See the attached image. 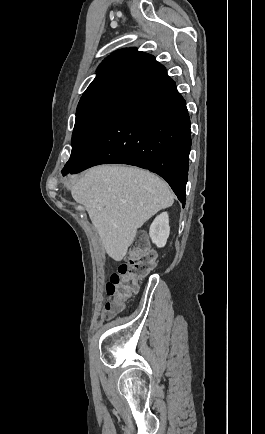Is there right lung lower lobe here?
Returning a JSON list of instances; mask_svg holds the SVG:
<instances>
[{
  "instance_id": "98d812e1",
  "label": "right lung lower lobe",
  "mask_w": 265,
  "mask_h": 434,
  "mask_svg": "<svg viewBox=\"0 0 265 434\" xmlns=\"http://www.w3.org/2000/svg\"><path fill=\"white\" fill-rule=\"evenodd\" d=\"M190 117L184 98L154 62L127 84L82 159L63 175L99 164H129L164 178L185 205Z\"/></svg>"
}]
</instances>
